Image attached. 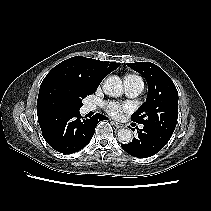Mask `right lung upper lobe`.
<instances>
[{
	"label": "right lung upper lobe",
	"mask_w": 211,
	"mask_h": 211,
	"mask_svg": "<svg viewBox=\"0 0 211 211\" xmlns=\"http://www.w3.org/2000/svg\"><path fill=\"white\" fill-rule=\"evenodd\" d=\"M119 66L120 63L115 62H103L81 56L72 57L55 66L44 78L40 89L46 82L61 78L95 92L102 79ZM44 114L46 113L41 110L37 101V115Z\"/></svg>",
	"instance_id": "cb5924a9"
}]
</instances>
